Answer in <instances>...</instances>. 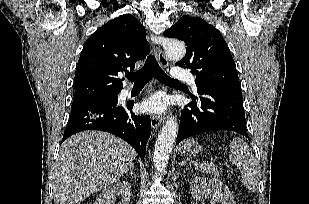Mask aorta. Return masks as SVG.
I'll return each mask as SVG.
<instances>
[{
	"mask_svg": "<svg viewBox=\"0 0 309 204\" xmlns=\"http://www.w3.org/2000/svg\"><path fill=\"white\" fill-rule=\"evenodd\" d=\"M165 53L169 59L179 61L185 56L186 48L181 41L171 40L165 47ZM177 133L178 123L176 118H168L158 135L154 148L153 161L158 172L165 171L167 167L168 159L176 140Z\"/></svg>",
	"mask_w": 309,
	"mask_h": 204,
	"instance_id": "1",
	"label": "aorta"
}]
</instances>
